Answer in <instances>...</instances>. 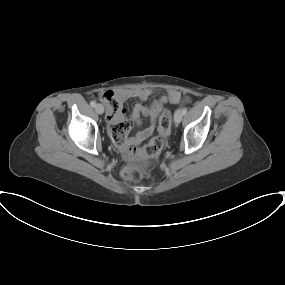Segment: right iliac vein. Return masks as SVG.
<instances>
[{
  "instance_id": "obj_1",
  "label": "right iliac vein",
  "mask_w": 285,
  "mask_h": 285,
  "mask_svg": "<svg viewBox=\"0 0 285 285\" xmlns=\"http://www.w3.org/2000/svg\"><path fill=\"white\" fill-rule=\"evenodd\" d=\"M95 111L98 113V114H102L104 112V107L101 105V104H97L95 106Z\"/></svg>"
}]
</instances>
